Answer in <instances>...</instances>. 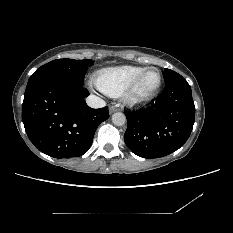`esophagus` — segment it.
<instances>
[{
  "mask_svg": "<svg viewBox=\"0 0 233 233\" xmlns=\"http://www.w3.org/2000/svg\"><path fill=\"white\" fill-rule=\"evenodd\" d=\"M119 109L116 107V106H110L109 107V113L110 114H112V113H114V112H116V111H118Z\"/></svg>",
  "mask_w": 233,
  "mask_h": 233,
  "instance_id": "obj_1",
  "label": "esophagus"
}]
</instances>
